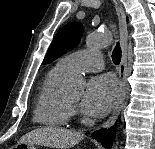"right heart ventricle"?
I'll list each match as a JSON object with an SVG mask.
<instances>
[{
	"label": "right heart ventricle",
	"instance_id": "1",
	"mask_svg": "<svg viewBox=\"0 0 155 149\" xmlns=\"http://www.w3.org/2000/svg\"><path fill=\"white\" fill-rule=\"evenodd\" d=\"M68 75L56 64L44 77L34 109L36 123L48 127H62L69 123L73 109L60 90Z\"/></svg>",
	"mask_w": 155,
	"mask_h": 149
}]
</instances>
